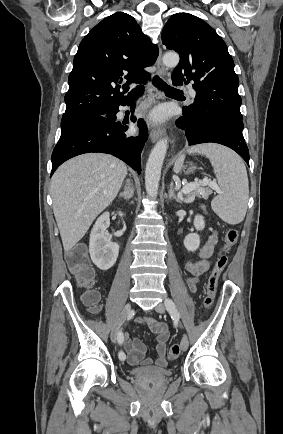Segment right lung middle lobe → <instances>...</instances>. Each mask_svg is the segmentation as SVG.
<instances>
[{
    "label": "right lung middle lobe",
    "mask_w": 283,
    "mask_h": 434,
    "mask_svg": "<svg viewBox=\"0 0 283 434\" xmlns=\"http://www.w3.org/2000/svg\"><path fill=\"white\" fill-rule=\"evenodd\" d=\"M104 114L105 113H102L100 115L93 116V117H90V118L104 116ZM86 119H88V118H86ZM82 120H84V119H65V120H61V130L65 129V128L73 125V124H76L77 122L82 121Z\"/></svg>",
    "instance_id": "1"
}]
</instances>
